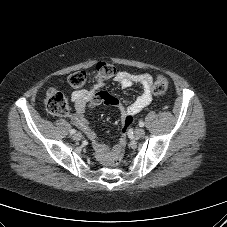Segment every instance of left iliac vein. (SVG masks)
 Here are the masks:
<instances>
[{"label": "left iliac vein", "mask_w": 227, "mask_h": 227, "mask_svg": "<svg viewBox=\"0 0 227 227\" xmlns=\"http://www.w3.org/2000/svg\"><path fill=\"white\" fill-rule=\"evenodd\" d=\"M134 134L136 137L141 138L145 135V131L142 128H138L135 130Z\"/></svg>", "instance_id": "4c4485c4"}]
</instances>
